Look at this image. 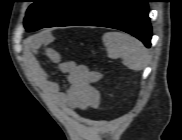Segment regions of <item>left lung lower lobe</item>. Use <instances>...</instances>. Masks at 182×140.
<instances>
[{
  "label": "left lung lower lobe",
  "instance_id": "1",
  "mask_svg": "<svg viewBox=\"0 0 182 140\" xmlns=\"http://www.w3.org/2000/svg\"><path fill=\"white\" fill-rule=\"evenodd\" d=\"M148 2V0H104L71 25L119 29L135 36L149 48L152 28L148 17Z\"/></svg>",
  "mask_w": 182,
  "mask_h": 140
}]
</instances>
